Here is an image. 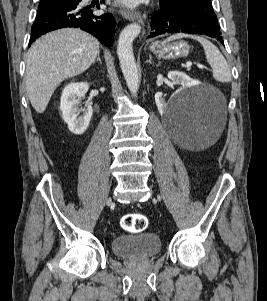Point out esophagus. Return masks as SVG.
<instances>
[{"label": "esophagus", "instance_id": "34e87169", "mask_svg": "<svg viewBox=\"0 0 267 301\" xmlns=\"http://www.w3.org/2000/svg\"><path fill=\"white\" fill-rule=\"evenodd\" d=\"M122 15L124 16L125 19H127L129 21H137V22L143 24V19L139 12L123 10Z\"/></svg>", "mask_w": 267, "mask_h": 301}]
</instances>
